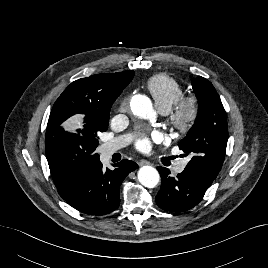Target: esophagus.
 I'll use <instances>...</instances> for the list:
<instances>
[{
    "label": "esophagus",
    "mask_w": 268,
    "mask_h": 268,
    "mask_svg": "<svg viewBox=\"0 0 268 268\" xmlns=\"http://www.w3.org/2000/svg\"><path fill=\"white\" fill-rule=\"evenodd\" d=\"M138 164H139V166H143V165H149L150 162L142 159V160L138 161Z\"/></svg>",
    "instance_id": "obj_1"
}]
</instances>
